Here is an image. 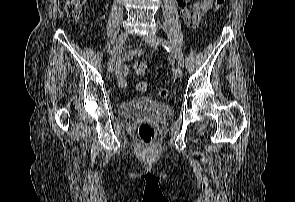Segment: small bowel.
Masks as SVG:
<instances>
[{
    "instance_id": "small-bowel-1",
    "label": "small bowel",
    "mask_w": 295,
    "mask_h": 202,
    "mask_svg": "<svg viewBox=\"0 0 295 202\" xmlns=\"http://www.w3.org/2000/svg\"><path fill=\"white\" fill-rule=\"evenodd\" d=\"M177 6L180 9L181 16L185 23L190 26H196L201 17L212 7L213 0H200L196 2L192 9L187 5L188 0H176ZM99 5H97V8ZM136 56L135 52L128 55L127 60ZM128 72L126 61L122 60L117 64V80L121 87L126 85V75Z\"/></svg>"
}]
</instances>
